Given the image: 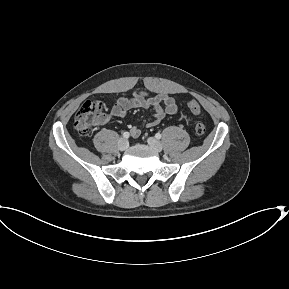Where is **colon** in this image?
Listing matches in <instances>:
<instances>
[{
  "instance_id": "5ec220e1",
  "label": "colon",
  "mask_w": 289,
  "mask_h": 289,
  "mask_svg": "<svg viewBox=\"0 0 289 289\" xmlns=\"http://www.w3.org/2000/svg\"><path fill=\"white\" fill-rule=\"evenodd\" d=\"M187 105L194 115H200L201 107L197 101L188 100ZM103 111V102L99 100L85 101L75 116L74 126L77 133L81 137H87L91 133L93 125L102 117ZM205 131L206 126L203 122L199 121L195 124V132L197 134H203Z\"/></svg>"
}]
</instances>
